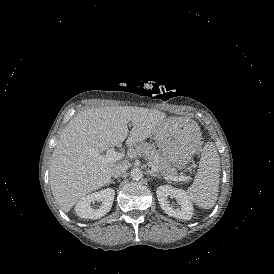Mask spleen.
<instances>
[{
    "instance_id": "spleen-1",
    "label": "spleen",
    "mask_w": 274,
    "mask_h": 274,
    "mask_svg": "<svg viewBox=\"0 0 274 274\" xmlns=\"http://www.w3.org/2000/svg\"><path fill=\"white\" fill-rule=\"evenodd\" d=\"M201 140V133L198 135ZM220 158L213 142H208L201 153L199 169L194 183L186 190V197L199 208H211L218 196Z\"/></svg>"
}]
</instances>
